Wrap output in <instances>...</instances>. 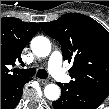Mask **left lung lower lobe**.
I'll use <instances>...</instances> for the list:
<instances>
[{"label": "left lung lower lobe", "instance_id": "1", "mask_svg": "<svg viewBox=\"0 0 109 109\" xmlns=\"http://www.w3.org/2000/svg\"><path fill=\"white\" fill-rule=\"evenodd\" d=\"M57 84L62 94L57 101L52 102L54 109H96L108 96L105 92L72 81Z\"/></svg>", "mask_w": 109, "mask_h": 109}]
</instances>
